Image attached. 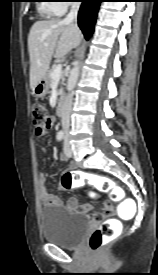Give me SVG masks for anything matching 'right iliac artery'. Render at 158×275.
I'll use <instances>...</instances> for the list:
<instances>
[{"label": "right iliac artery", "mask_w": 158, "mask_h": 275, "mask_svg": "<svg viewBox=\"0 0 158 275\" xmlns=\"http://www.w3.org/2000/svg\"><path fill=\"white\" fill-rule=\"evenodd\" d=\"M63 137H64V133L62 131L57 133L56 138H57L58 141H61L63 139Z\"/></svg>", "instance_id": "obj_1"}]
</instances>
